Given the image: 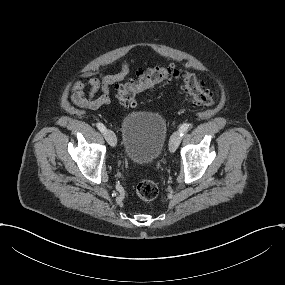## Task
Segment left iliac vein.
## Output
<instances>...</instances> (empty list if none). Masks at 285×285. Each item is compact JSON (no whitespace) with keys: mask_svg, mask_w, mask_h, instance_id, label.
<instances>
[{"mask_svg":"<svg viewBox=\"0 0 285 285\" xmlns=\"http://www.w3.org/2000/svg\"><path fill=\"white\" fill-rule=\"evenodd\" d=\"M180 140H181V137H180V134L179 132H174L170 138V141H169V151L170 153H174L175 150L177 149V147L179 146L180 144Z\"/></svg>","mask_w":285,"mask_h":285,"instance_id":"4c4485c4","label":"left iliac vein"}]
</instances>
